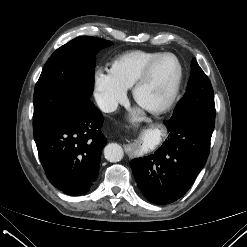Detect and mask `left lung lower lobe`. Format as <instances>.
Returning a JSON list of instances; mask_svg holds the SVG:
<instances>
[{"mask_svg":"<svg viewBox=\"0 0 247 247\" xmlns=\"http://www.w3.org/2000/svg\"><path fill=\"white\" fill-rule=\"evenodd\" d=\"M164 124L168 140L154 154L131 162L141 192L158 205L178 200L195 181L209 155L215 117L193 110Z\"/></svg>","mask_w":247,"mask_h":247,"instance_id":"0a47b994","label":"left lung lower lobe"}]
</instances>
